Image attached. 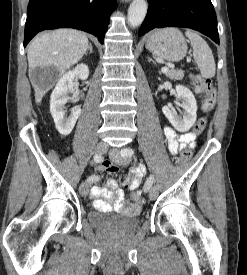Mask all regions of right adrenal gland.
<instances>
[{"label": "right adrenal gland", "instance_id": "obj_1", "mask_svg": "<svg viewBox=\"0 0 247 275\" xmlns=\"http://www.w3.org/2000/svg\"><path fill=\"white\" fill-rule=\"evenodd\" d=\"M88 49H89V53L92 54L93 53V48H92L91 43L89 44V48ZM85 55L87 56V54H85Z\"/></svg>", "mask_w": 247, "mask_h": 275}]
</instances>
